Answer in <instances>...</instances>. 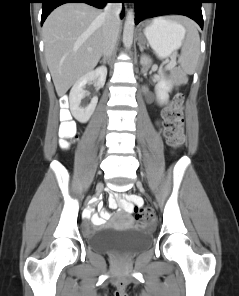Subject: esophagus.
<instances>
[{
	"label": "esophagus",
	"instance_id": "1",
	"mask_svg": "<svg viewBox=\"0 0 239 296\" xmlns=\"http://www.w3.org/2000/svg\"><path fill=\"white\" fill-rule=\"evenodd\" d=\"M125 8H126L127 11H130L131 8H132V5L131 4H126L125 5Z\"/></svg>",
	"mask_w": 239,
	"mask_h": 296
}]
</instances>
